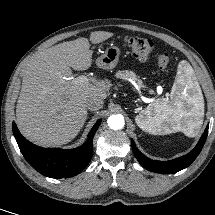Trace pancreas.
Returning a JSON list of instances; mask_svg holds the SVG:
<instances>
[{"instance_id":"cf45deb5","label":"pancreas","mask_w":215,"mask_h":215,"mask_svg":"<svg viewBox=\"0 0 215 215\" xmlns=\"http://www.w3.org/2000/svg\"><path fill=\"white\" fill-rule=\"evenodd\" d=\"M116 77L117 78H127V79H131L135 82H137L140 86L142 85V81L139 79V77L136 76V74L132 71H118L116 73Z\"/></svg>"}]
</instances>
